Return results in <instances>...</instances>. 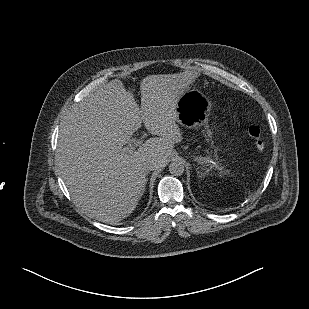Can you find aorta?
Returning <instances> with one entry per match:
<instances>
[{
    "mask_svg": "<svg viewBox=\"0 0 309 309\" xmlns=\"http://www.w3.org/2000/svg\"><path fill=\"white\" fill-rule=\"evenodd\" d=\"M185 171V166L182 160H175L169 165V172L174 176H181Z\"/></svg>",
    "mask_w": 309,
    "mask_h": 309,
    "instance_id": "aorta-1",
    "label": "aorta"
}]
</instances>
